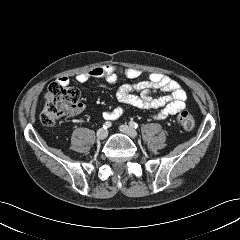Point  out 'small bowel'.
Here are the masks:
<instances>
[{"label":"small bowel","instance_id":"obj_1","mask_svg":"<svg viewBox=\"0 0 240 240\" xmlns=\"http://www.w3.org/2000/svg\"><path fill=\"white\" fill-rule=\"evenodd\" d=\"M120 76L136 79L140 76V71L133 68L119 69L111 65H103L78 74L75 80L83 84L90 79H100L106 84L115 85L118 83ZM69 82L68 77L57 79V83L62 85H68ZM156 91H161L163 94L154 96L153 93ZM116 96L123 105L157 110L154 117L158 120H165L184 109L187 98L186 92L176 80L160 73L150 74L146 81L120 85L116 90ZM122 114L123 108L118 107L104 112L103 116L108 120H116Z\"/></svg>","mask_w":240,"mask_h":240}]
</instances>
